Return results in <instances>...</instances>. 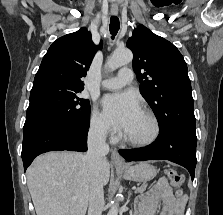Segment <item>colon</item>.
Masks as SVG:
<instances>
[{"mask_svg": "<svg viewBox=\"0 0 223 215\" xmlns=\"http://www.w3.org/2000/svg\"><path fill=\"white\" fill-rule=\"evenodd\" d=\"M167 177L172 181L173 185L176 188L177 198L182 201L184 200L183 191L181 189L183 183V176L178 174L173 169L166 170Z\"/></svg>", "mask_w": 223, "mask_h": 215, "instance_id": "1", "label": "colon"}]
</instances>
